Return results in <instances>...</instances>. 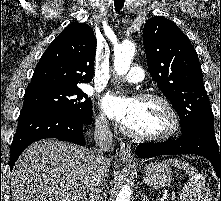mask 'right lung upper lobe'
<instances>
[{"label": "right lung upper lobe", "instance_id": "cb5924a9", "mask_svg": "<svg viewBox=\"0 0 221 201\" xmlns=\"http://www.w3.org/2000/svg\"><path fill=\"white\" fill-rule=\"evenodd\" d=\"M96 39L85 23L66 27L46 49L38 62L29 87L79 88L94 74Z\"/></svg>", "mask_w": 221, "mask_h": 201}]
</instances>
